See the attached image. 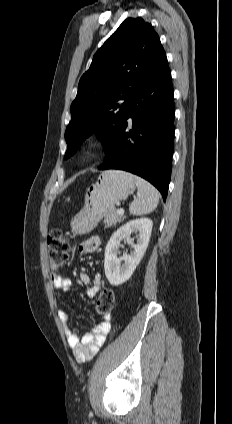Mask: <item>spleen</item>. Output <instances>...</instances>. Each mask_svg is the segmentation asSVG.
I'll return each instance as SVG.
<instances>
[{
    "instance_id": "3e777b00",
    "label": "spleen",
    "mask_w": 232,
    "mask_h": 424,
    "mask_svg": "<svg viewBox=\"0 0 232 424\" xmlns=\"http://www.w3.org/2000/svg\"><path fill=\"white\" fill-rule=\"evenodd\" d=\"M138 191L137 197L129 207L132 215H145L152 212L159 203L158 191L149 182L141 177L134 176Z\"/></svg>"
}]
</instances>
